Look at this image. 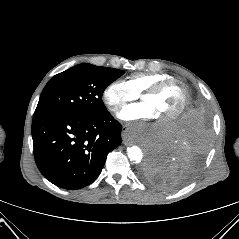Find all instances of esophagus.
Returning a JSON list of instances; mask_svg holds the SVG:
<instances>
[{
  "label": "esophagus",
  "mask_w": 239,
  "mask_h": 239,
  "mask_svg": "<svg viewBox=\"0 0 239 239\" xmlns=\"http://www.w3.org/2000/svg\"><path fill=\"white\" fill-rule=\"evenodd\" d=\"M128 127L127 126H123V130H122V138L125 144H127L129 142L128 140Z\"/></svg>",
  "instance_id": "34e87169"
}]
</instances>
